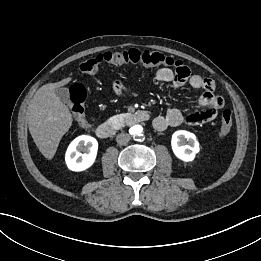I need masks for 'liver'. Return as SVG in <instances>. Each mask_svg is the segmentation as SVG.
<instances>
[{
  "instance_id": "6515ba94",
  "label": "liver",
  "mask_w": 261,
  "mask_h": 261,
  "mask_svg": "<svg viewBox=\"0 0 261 261\" xmlns=\"http://www.w3.org/2000/svg\"><path fill=\"white\" fill-rule=\"evenodd\" d=\"M71 77L40 87L28 106L29 132L42 155L52 159L63 135L72 125L68 107L58 98L55 89L68 84Z\"/></svg>"
}]
</instances>
